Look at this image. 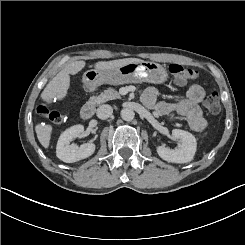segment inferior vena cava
<instances>
[{
	"mask_svg": "<svg viewBox=\"0 0 245 245\" xmlns=\"http://www.w3.org/2000/svg\"><path fill=\"white\" fill-rule=\"evenodd\" d=\"M112 113H113V108L108 104L101 105L97 109V117L102 120L109 118L112 115Z\"/></svg>",
	"mask_w": 245,
	"mask_h": 245,
	"instance_id": "602c4592",
	"label": "inferior vena cava"
}]
</instances>
